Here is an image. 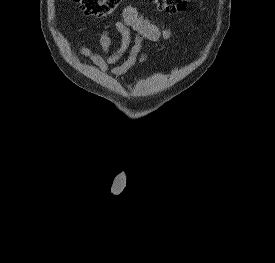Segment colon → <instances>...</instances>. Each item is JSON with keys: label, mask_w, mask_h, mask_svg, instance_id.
I'll list each match as a JSON object with an SVG mask.
<instances>
[{"label": "colon", "mask_w": 275, "mask_h": 263, "mask_svg": "<svg viewBox=\"0 0 275 263\" xmlns=\"http://www.w3.org/2000/svg\"><path fill=\"white\" fill-rule=\"evenodd\" d=\"M88 15L106 17L114 13L123 0H72ZM157 9L166 13H179L186 9L188 0H152Z\"/></svg>", "instance_id": "1"}]
</instances>
